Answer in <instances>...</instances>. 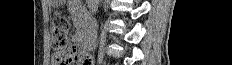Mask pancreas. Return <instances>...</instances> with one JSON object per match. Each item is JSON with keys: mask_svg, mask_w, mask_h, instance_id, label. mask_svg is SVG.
<instances>
[{"mask_svg": "<svg viewBox=\"0 0 232 65\" xmlns=\"http://www.w3.org/2000/svg\"><path fill=\"white\" fill-rule=\"evenodd\" d=\"M80 25H81L80 23L77 24V26H80Z\"/></svg>", "mask_w": 232, "mask_h": 65, "instance_id": "pancreas-1", "label": "pancreas"}]
</instances>
